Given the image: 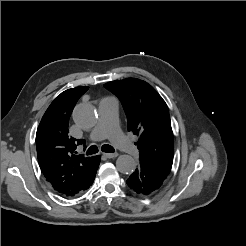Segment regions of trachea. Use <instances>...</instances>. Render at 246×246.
<instances>
[{
  "label": "trachea",
  "mask_w": 246,
  "mask_h": 246,
  "mask_svg": "<svg viewBox=\"0 0 246 246\" xmlns=\"http://www.w3.org/2000/svg\"><path fill=\"white\" fill-rule=\"evenodd\" d=\"M101 150L103 152H106V153H113L115 150L112 146L108 145V144H104L102 147H101ZM98 152V148L96 145H92L91 147L88 148L86 154L87 155H92V154H96Z\"/></svg>",
  "instance_id": "1"
}]
</instances>
